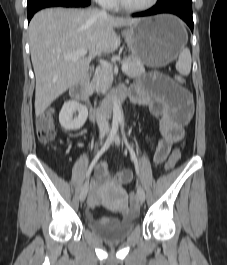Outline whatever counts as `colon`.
Masks as SVG:
<instances>
[{"label": "colon", "mask_w": 227, "mask_h": 265, "mask_svg": "<svg viewBox=\"0 0 227 265\" xmlns=\"http://www.w3.org/2000/svg\"><path fill=\"white\" fill-rule=\"evenodd\" d=\"M174 81L178 85H183L185 83L184 76L180 74L174 75ZM36 131L39 140L43 143H49L54 140L56 136L55 123H54V110L47 109L41 114L38 115L36 119ZM181 156L180 147L174 149L170 154L166 164L165 169L167 171L172 170L174 166L177 164ZM129 200L132 205L136 204V196L134 194H130Z\"/></svg>", "instance_id": "colon-1"}]
</instances>
